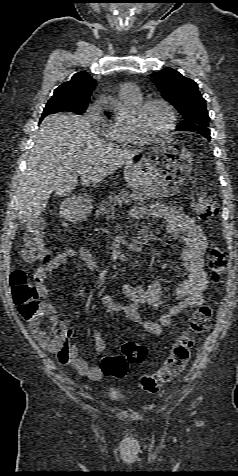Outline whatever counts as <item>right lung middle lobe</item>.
Wrapping results in <instances>:
<instances>
[{
	"label": "right lung middle lobe",
	"instance_id": "1",
	"mask_svg": "<svg viewBox=\"0 0 238 476\" xmlns=\"http://www.w3.org/2000/svg\"><path fill=\"white\" fill-rule=\"evenodd\" d=\"M87 105L74 104L69 97L66 96H52L44 108L42 117L56 112H72L82 114L85 112Z\"/></svg>",
	"mask_w": 238,
	"mask_h": 476
}]
</instances>
